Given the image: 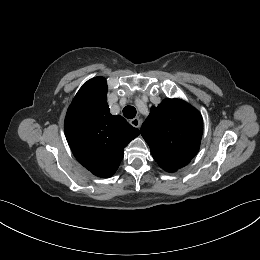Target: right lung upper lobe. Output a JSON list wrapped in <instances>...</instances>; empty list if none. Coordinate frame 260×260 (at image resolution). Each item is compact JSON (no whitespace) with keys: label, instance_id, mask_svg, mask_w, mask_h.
<instances>
[{"label":"right lung upper lobe","instance_id":"cb5924a9","mask_svg":"<svg viewBox=\"0 0 260 260\" xmlns=\"http://www.w3.org/2000/svg\"><path fill=\"white\" fill-rule=\"evenodd\" d=\"M107 90L103 77L87 81L74 97L65 118V134L75 158L102 178L115 173L124 148L140 134L122 116L110 114Z\"/></svg>","mask_w":260,"mask_h":260}]
</instances>
